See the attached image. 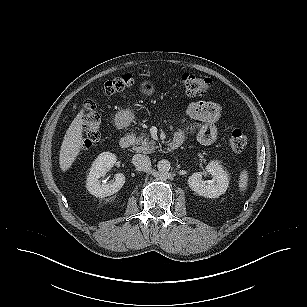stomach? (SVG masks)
Instances as JSON below:
<instances>
[{
    "label": "stomach",
    "instance_id": "stomach-1",
    "mask_svg": "<svg viewBox=\"0 0 307 307\" xmlns=\"http://www.w3.org/2000/svg\"><path fill=\"white\" fill-rule=\"evenodd\" d=\"M140 91L143 95L146 96H151L153 95L155 91V87L152 82L150 81H144L140 85ZM134 119V112L130 108H126L123 110H120L116 115H115V124L119 128L127 127L132 120Z\"/></svg>",
    "mask_w": 307,
    "mask_h": 307
}]
</instances>
